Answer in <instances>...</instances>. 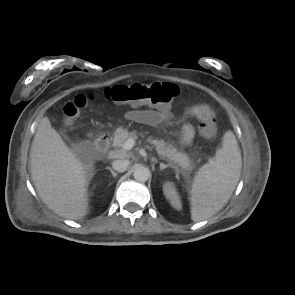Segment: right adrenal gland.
I'll return each mask as SVG.
<instances>
[{"mask_svg":"<svg viewBox=\"0 0 295 295\" xmlns=\"http://www.w3.org/2000/svg\"><path fill=\"white\" fill-rule=\"evenodd\" d=\"M107 170H109L112 174L113 177L117 176V173L111 168V167H106Z\"/></svg>","mask_w":295,"mask_h":295,"instance_id":"right-adrenal-gland-1","label":"right adrenal gland"}]
</instances>
